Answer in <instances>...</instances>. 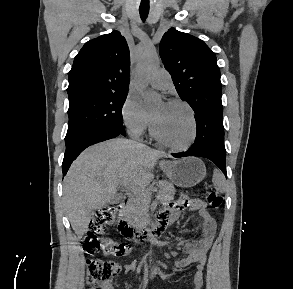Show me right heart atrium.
I'll return each instance as SVG.
<instances>
[{
  "instance_id": "1",
  "label": "right heart atrium",
  "mask_w": 293,
  "mask_h": 289,
  "mask_svg": "<svg viewBox=\"0 0 293 289\" xmlns=\"http://www.w3.org/2000/svg\"><path fill=\"white\" fill-rule=\"evenodd\" d=\"M122 121L130 135L139 137L146 133L151 126V118L143 107L141 101L128 95L123 103Z\"/></svg>"
}]
</instances>
